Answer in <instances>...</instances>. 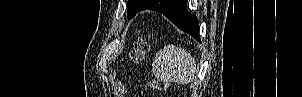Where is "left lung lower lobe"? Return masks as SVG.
I'll use <instances>...</instances> for the list:
<instances>
[{"mask_svg": "<svg viewBox=\"0 0 302 97\" xmlns=\"http://www.w3.org/2000/svg\"><path fill=\"white\" fill-rule=\"evenodd\" d=\"M145 9L164 14L178 28L190 34L197 41H200L198 21L196 16L188 12L187 0H148L147 6L141 10Z\"/></svg>", "mask_w": 302, "mask_h": 97, "instance_id": "0a47b994", "label": "left lung lower lobe"}]
</instances>
